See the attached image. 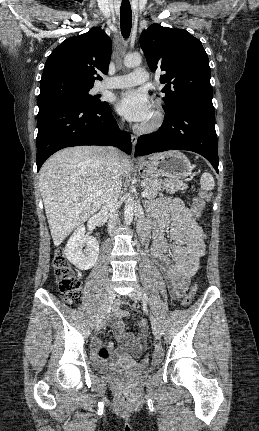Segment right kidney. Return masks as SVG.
<instances>
[{"label": "right kidney", "mask_w": 259, "mask_h": 431, "mask_svg": "<svg viewBox=\"0 0 259 431\" xmlns=\"http://www.w3.org/2000/svg\"><path fill=\"white\" fill-rule=\"evenodd\" d=\"M85 247V249H83ZM67 259L80 270L92 268L99 256V243L96 238L85 235V226H79L67 242Z\"/></svg>", "instance_id": "obj_1"}]
</instances>
